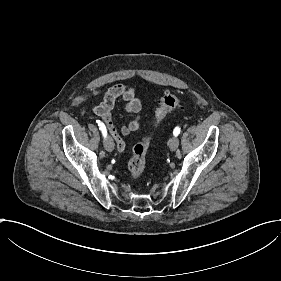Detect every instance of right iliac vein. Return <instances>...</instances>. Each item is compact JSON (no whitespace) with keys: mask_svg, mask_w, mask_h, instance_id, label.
I'll use <instances>...</instances> for the list:
<instances>
[{"mask_svg":"<svg viewBox=\"0 0 281 281\" xmlns=\"http://www.w3.org/2000/svg\"><path fill=\"white\" fill-rule=\"evenodd\" d=\"M103 141L105 144V150L107 152H112L114 150V139L108 135L106 138H103Z\"/></svg>","mask_w":281,"mask_h":281,"instance_id":"obj_1","label":"right iliac vein"}]
</instances>
